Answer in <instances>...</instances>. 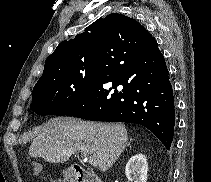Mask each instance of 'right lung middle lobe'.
Returning <instances> with one entry per match:
<instances>
[{
    "mask_svg": "<svg viewBox=\"0 0 211 182\" xmlns=\"http://www.w3.org/2000/svg\"><path fill=\"white\" fill-rule=\"evenodd\" d=\"M95 72L96 66H90L35 85L30 109L38 115L61 116L83 96L91 85Z\"/></svg>",
    "mask_w": 211,
    "mask_h": 182,
    "instance_id": "obj_1",
    "label": "right lung middle lobe"
}]
</instances>
